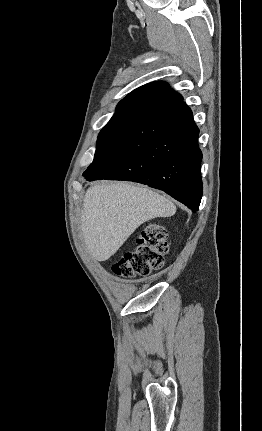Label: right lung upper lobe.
<instances>
[{
    "mask_svg": "<svg viewBox=\"0 0 262 431\" xmlns=\"http://www.w3.org/2000/svg\"><path fill=\"white\" fill-rule=\"evenodd\" d=\"M183 103V97L165 82H152L129 93L117 106L107 125L132 126L150 116Z\"/></svg>",
    "mask_w": 262,
    "mask_h": 431,
    "instance_id": "obj_1",
    "label": "right lung upper lobe"
}]
</instances>
